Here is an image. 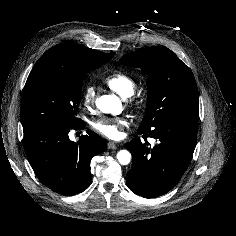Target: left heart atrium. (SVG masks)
I'll list each match as a JSON object with an SVG mask.
<instances>
[{"label": "left heart atrium", "mask_w": 236, "mask_h": 236, "mask_svg": "<svg viewBox=\"0 0 236 236\" xmlns=\"http://www.w3.org/2000/svg\"><path fill=\"white\" fill-rule=\"evenodd\" d=\"M127 125L123 118H101L93 123V127L102 135L110 139H118L122 135V128Z\"/></svg>", "instance_id": "obj_1"}]
</instances>
